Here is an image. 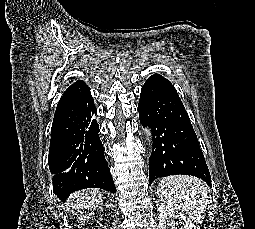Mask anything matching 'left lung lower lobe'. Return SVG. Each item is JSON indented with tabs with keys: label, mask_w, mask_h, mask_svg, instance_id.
I'll use <instances>...</instances> for the list:
<instances>
[{
	"label": "left lung lower lobe",
	"mask_w": 255,
	"mask_h": 229,
	"mask_svg": "<svg viewBox=\"0 0 255 229\" xmlns=\"http://www.w3.org/2000/svg\"><path fill=\"white\" fill-rule=\"evenodd\" d=\"M139 119L149 126L153 152L149 158L150 184L176 174L196 176L211 186V176L185 107L171 82L159 74L141 89Z\"/></svg>",
	"instance_id": "1"
}]
</instances>
